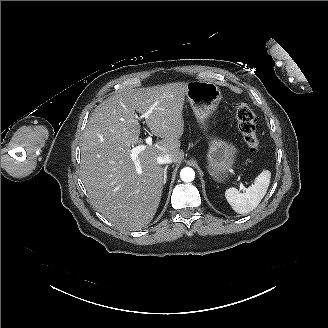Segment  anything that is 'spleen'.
<instances>
[{
  "mask_svg": "<svg viewBox=\"0 0 328 328\" xmlns=\"http://www.w3.org/2000/svg\"><path fill=\"white\" fill-rule=\"evenodd\" d=\"M271 179V172L263 170L254 180V184L240 193L232 187L226 190L225 197L232 209L239 214L249 213L254 210L267 193Z\"/></svg>",
  "mask_w": 328,
  "mask_h": 328,
  "instance_id": "1",
  "label": "spleen"
}]
</instances>
